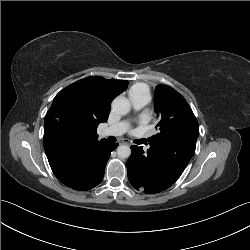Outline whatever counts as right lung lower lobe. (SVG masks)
I'll use <instances>...</instances> for the list:
<instances>
[{
  "instance_id": "right-lung-lower-lobe-1",
  "label": "right lung lower lobe",
  "mask_w": 250,
  "mask_h": 250,
  "mask_svg": "<svg viewBox=\"0 0 250 250\" xmlns=\"http://www.w3.org/2000/svg\"><path fill=\"white\" fill-rule=\"evenodd\" d=\"M117 146L118 143H110L105 139L95 143L76 160L73 167L76 177L60 181L79 191L94 188L101 183L110 154Z\"/></svg>"
}]
</instances>
